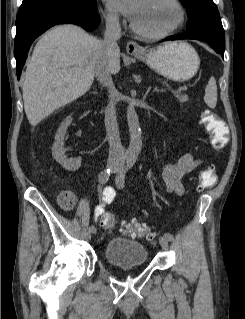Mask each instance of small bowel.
Wrapping results in <instances>:
<instances>
[{"instance_id": "c3829d8e", "label": "small bowel", "mask_w": 245, "mask_h": 319, "mask_svg": "<svg viewBox=\"0 0 245 319\" xmlns=\"http://www.w3.org/2000/svg\"><path fill=\"white\" fill-rule=\"evenodd\" d=\"M198 166V160L189 154L182 155L174 163L166 164L163 167V180L165 188L169 193H174L178 196H182L185 192L184 186L182 184V179L185 175L192 172ZM111 188V187H110ZM110 196L103 195V201L95 208V219H98L105 211V206L110 204L108 202L109 198L114 196L115 191L113 188ZM113 198V199H114ZM113 201V200H112Z\"/></svg>"}]
</instances>
